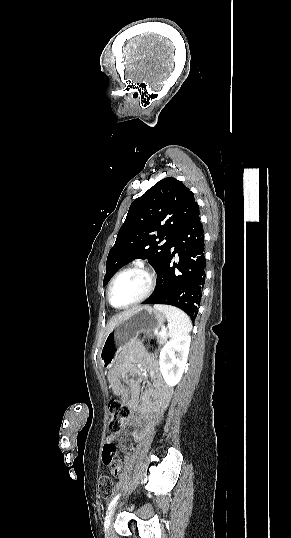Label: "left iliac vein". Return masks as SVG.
Masks as SVG:
<instances>
[{
    "instance_id": "4c4485c4",
    "label": "left iliac vein",
    "mask_w": 291,
    "mask_h": 538,
    "mask_svg": "<svg viewBox=\"0 0 291 538\" xmlns=\"http://www.w3.org/2000/svg\"><path fill=\"white\" fill-rule=\"evenodd\" d=\"M117 507H118V503L115 504V505L111 508V510L108 512V514H107V516H106V518H105L104 530H105L106 534H109L110 524H111V521H112V519H113V516H114V514H115V512H116Z\"/></svg>"
}]
</instances>
